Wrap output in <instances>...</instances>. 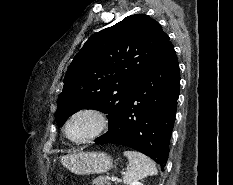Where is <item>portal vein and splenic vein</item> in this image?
Listing matches in <instances>:
<instances>
[{"mask_svg": "<svg viewBox=\"0 0 233 185\" xmlns=\"http://www.w3.org/2000/svg\"><path fill=\"white\" fill-rule=\"evenodd\" d=\"M108 179L114 182V181L117 180V177H110V178H108Z\"/></svg>", "mask_w": 233, "mask_h": 185, "instance_id": "18ae733b", "label": "portal vein and splenic vein"}]
</instances>
